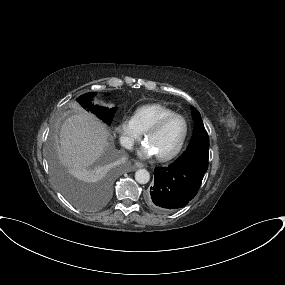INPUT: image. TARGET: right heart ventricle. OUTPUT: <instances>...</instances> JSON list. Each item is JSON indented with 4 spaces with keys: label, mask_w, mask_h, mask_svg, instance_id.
I'll return each instance as SVG.
<instances>
[{
    "label": "right heart ventricle",
    "mask_w": 285,
    "mask_h": 285,
    "mask_svg": "<svg viewBox=\"0 0 285 285\" xmlns=\"http://www.w3.org/2000/svg\"><path fill=\"white\" fill-rule=\"evenodd\" d=\"M172 114L175 112L161 104H149L135 111L134 120L140 131L145 132L161 118Z\"/></svg>",
    "instance_id": "right-heart-ventricle-1"
}]
</instances>
